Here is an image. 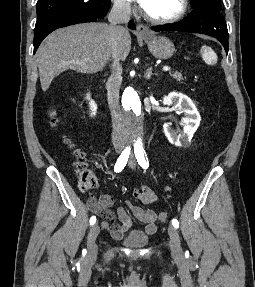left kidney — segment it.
I'll use <instances>...</instances> for the list:
<instances>
[{"label":"left kidney","mask_w":255,"mask_h":287,"mask_svg":"<svg viewBox=\"0 0 255 287\" xmlns=\"http://www.w3.org/2000/svg\"><path fill=\"white\" fill-rule=\"evenodd\" d=\"M163 104L164 106H173V108H177L180 112H184L183 132L178 134L175 130H171V124H164L163 130L170 144L185 147V145L191 142L193 134L201 122L200 114L197 112L195 104H193L188 96H184L180 92H170L168 96L163 98Z\"/></svg>","instance_id":"1"}]
</instances>
